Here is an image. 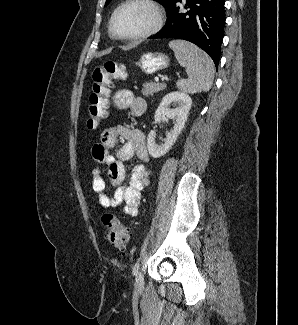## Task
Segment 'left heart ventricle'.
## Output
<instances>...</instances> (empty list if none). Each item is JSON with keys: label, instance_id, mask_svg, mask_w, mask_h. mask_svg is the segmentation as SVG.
<instances>
[{"label": "left heart ventricle", "instance_id": "left-heart-ventricle-1", "mask_svg": "<svg viewBox=\"0 0 298 325\" xmlns=\"http://www.w3.org/2000/svg\"><path fill=\"white\" fill-rule=\"evenodd\" d=\"M152 22L151 14L141 7H129L121 10L115 19L116 34L130 40L143 32Z\"/></svg>", "mask_w": 298, "mask_h": 325}]
</instances>
